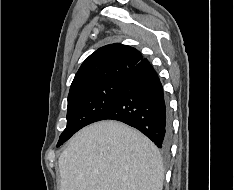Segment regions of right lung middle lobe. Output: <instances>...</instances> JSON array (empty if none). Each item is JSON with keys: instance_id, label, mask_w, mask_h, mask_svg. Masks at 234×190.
Returning <instances> with one entry per match:
<instances>
[{"instance_id": "obj_1", "label": "right lung middle lobe", "mask_w": 234, "mask_h": 190, "mask_svg": "<svg viewBox=\"0 0 234 190\" xmlns=\"http://www.w3.org/2000/svg\"><path fill=\"white\" fill-rule=\"evenodd\" d=\"M123 79L75 92L68 96L67 126L57 147L84 126L96 122L115 102Z\"/></svg>"}]
</instances>
